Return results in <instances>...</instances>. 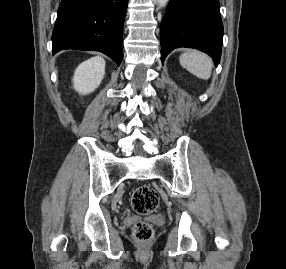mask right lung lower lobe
Returning <instances> with one entry per match:
<instances>
[{
	"label": "right lung lower lobe",
	"mask_w": 286,
	"mask_h": 269,
	"mask_svg": "<svg viewBox=\"0 0 286 269\" xmlns=\"http://www.w3.org/2000/svg\"><path fill=\"white\" fill-rule=\"evenodd\" d=\"M128 0H62L52 34L53 54L63 49L101 51L120 65Z\"/></svg>",
	"instance_id": "98d812e1"
}]
</instances>
